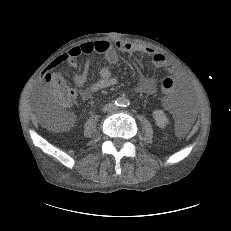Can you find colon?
I'll return each mask as SVG.
<instances>
[{
    "label": "colon",
    "mask_w": 231,
    "mask_h": 231,
    "mask_svg": "<svg viewBox=\"0 0 231 231\" xmlns=\"http://www.w3.org/2000/svg\"><path fill=\"white\" fill-rule=\"evenodd\" d=\"M47 81H52L53 76L47 73L45 76ZM160 89L163 92H172L176 83L172 77L166 76L160 80ZM48 105L42 111V119L45 126L53 131H61L68 127L72 122V117L66 110L73 101L74 91L64 85H57L51 88L48 93Z\"/></svg>",
    "instance_id": "obj_1"
}]
</instances>
